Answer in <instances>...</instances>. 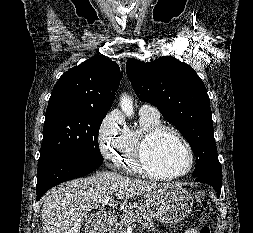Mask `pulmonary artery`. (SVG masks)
Returning <instances> with one entry per match:
<instances>
[{
	"label": "pulmonary artery",
	"instance_id": "e3ab8cb5",
	"mask_svg": "<svg viewBox=\"0 0 253 233\" xmlns=\"http://www.w3.org/2000/svg\"><path fill=\"white\" fill-rule=\"evenodd\" d=\"M139 114L141 115H151V116H160V113L157 108L150 104H143L139 108Z\"/></svg>",
	"mask_w": 253,
	"mask_h": 233
}]
</instances>
